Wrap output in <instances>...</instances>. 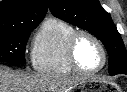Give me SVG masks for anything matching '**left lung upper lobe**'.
Here are the masks:
<instances>
[{"mask_svg":"<svg viewBox=\"0 0 127 92\" xmlns=\"http://www.w3.org/2000/svg\"><path fill=\"white\" fill-rule=\"evenodd\" d=\"M55 17L89 31L102 41L109 55V73L127 74V50L110 14L98 0H49Z\"/></svg>","mask_w":127,"mask_h":92,"instance_id":"5c2ea615","label":"left lung upper lobe"}]
</instances>
